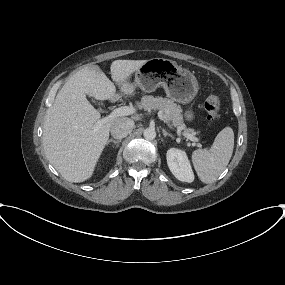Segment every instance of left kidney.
I'll use <instances>...</instances> for the list:
<instances>
[{
	"label": "left kidney",
	"mask_w": 285,
	"mask_h": 285,
	"mask_svg": "<svg viewBox=\"0 0 285 285\" xmlns=\"http://www.w3.org/2000/svg\"><path fill=\"white\" fill-rule=\"evenodd\" d=\"M167 164L172 174L182 182L194 181V173L185 151L171 148L166 154Z\"/></svg>",
	"instance_id": "obj_1"
}]
</instances>
